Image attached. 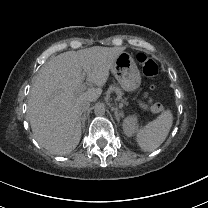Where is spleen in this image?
<instances>
[{"label":"spleen","mask_w":208,"mask_h":208,"mask_svg":"<svg viewBox=\"0 0 208 208\" xmlns=\"http://www.w3.org/2000/svg\"><path fill=\"white\" fill-rule=\"evenodd\" d=\"M173 111L166 108L155 120L137 129L134 141L142 152H152L157 149L167 138L173 124Z\"/></svg>","instance_id":"obj_1"}]
</instances>
